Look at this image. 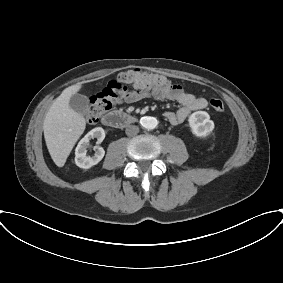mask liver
<instances>
[{
  "label": "liver",
  "mask_w": 283,
  "mask_h": 283,
  "mask_svg": "<svg viewBox=\"0 0 283 283\" xmlns=\"http://www.w3.org/2000/svg\"><path fill=\"white\" fill-rule=\"evenodd\" d=\"M82 85L75 84L66 88L56 98L44 122L43 131L46 146L54 163L63 167L75 143L83 134L85 118L69 106V100L76 94Z\"/></svg>",
  "instance_id": "1"
}]
</instances>
